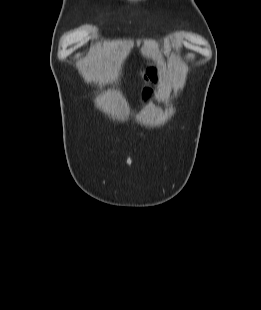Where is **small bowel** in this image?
<instances>
[{"label":"small bowel","instance_id":"c3829d8e","mask_svg":"<svg viewBox=\"0 0 261 310\" xmlns=\"http://www.w3.org/2000/svg\"><path fill=\"white\" fill-rule=\"evenodd\" d=\"M148 77L150 78V80H151L152 82H156V81H157V79H156V77L154 76L153 73H149V74H148Z\"/></svg>","mask_w":261,"mask_h":310}]
</instances>
